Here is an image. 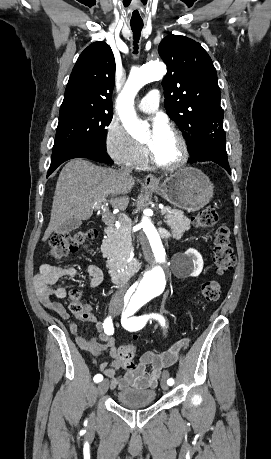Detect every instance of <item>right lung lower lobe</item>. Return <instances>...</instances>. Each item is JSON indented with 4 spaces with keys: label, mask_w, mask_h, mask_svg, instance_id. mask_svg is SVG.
<instances>
[{
    "label": "right lung lower lobe",
    "mask_w": 271,
    "mask_h": 459,
    "mask_svg": "<svg viewBox=\"0 0 271 459\" xmlns=\"http://www.w3.org/2000/svg\"><path fill=\"white\" fill-rule=\"evenodd\" d=\"M72 158H87L102 163H113L106 153L105 147L85 143L71 144L53 151L47 177L53 173L59 165Z\"/></svg>",
    "instance_id": "right-lung-lower-lobe-1"
}]
</instances>
